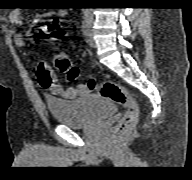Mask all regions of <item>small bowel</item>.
I'll use <instances>...</instances> for the list:
<instances>
[{"label": "small bowel", "instance_id": "obj_1", "mask_svg": "<svg viewBox=\"0 0 192 180\" xmlns=\"http://www.w3.org/2000/svg\"><path fill=\"white\" fill-rule=\"evenodd\" d=\"M57 15L62 16L64 15V12L59 11L46 13L44 15L39 16L38 19ZM9 19L10 22L14 25H21L23 23L22 14L19 10H13L10 14ZM15 40L20 44H24L23 38L19 34L15 36ZM38 79L43 88L51 91L54 95L59 96L61 98L75 99L88 93V90L84 85H77L67 88L63 87L57 82L53 71L45 63H40L38 66Z\"/></svg>", "mask_w": 192, "mask_h": 180}]
</instances>
